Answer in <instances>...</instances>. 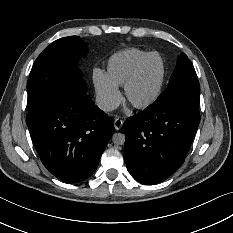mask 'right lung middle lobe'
I'll use <instances>...</instances> for the list:
<instances>
[{"mask_svg": "<svg viewBox=\"0 0 233 233\" xmlns=\"http://www.w3.org/2000/svg\"><path fill=\"white\" fill-rule=\"evenodd\" d=\"M87 43L77 36L58 39L46 47L33 64L29 79L28 112L46 105L73 81L86 86L77 68L88 53Z\"/></svg>", "mask_w": 233, "mask_h": 233, "instance_id": "1", "label": "right lung middle lobe"}]
</instances>
